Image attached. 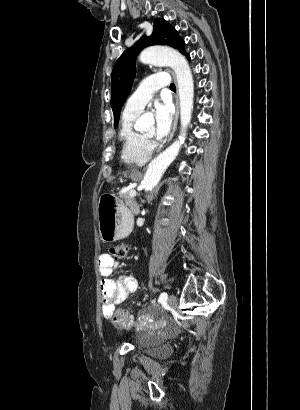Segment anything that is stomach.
<instances>
[{"instance_id":"stomach-1","label":"stomach","mask_w":300,"mask_h":410,"mask_svg":"<svg viewBox=\"0 0 300 410\" xmlns=\"http://www.w3.org/2000/svg\"><path fill=\"white\" fill-rule=\"evenodd\" d=\"M138 180L134 173L130 176ZM99 233L104 242L125 238L132 229V215L122 201L113 194L100 197L97 207Z\"/></svg>"}]
</instances>
